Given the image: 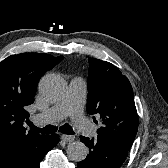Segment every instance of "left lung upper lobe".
Wrapping results in <instances>:
<instances>
[{"label": "left lung upper lobe", "mask_w": 168, "mask_h": 168, "mask_svg": "<svg viewBox=\"0 0 168 168\" xmlns=\"http://www.w3.org/2000/svg\"><path fill=\"white\" fill-rule=\"evenodd\" d=\"M87 112L99 114L98 135L130 149L138 130L131 84L113 64L89 58Z\"/></svg>", "instance_id": "1"}]
</instances>
